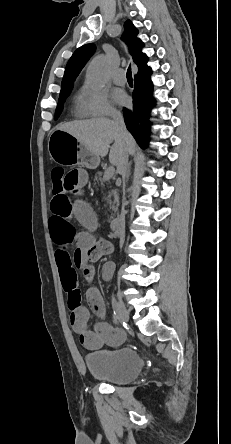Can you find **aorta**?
Segmentation results:
<instances>
[{"instance_id": "762f6f07", "label": "aorta", "mask_w": 231, "mask_h": 444, "mask_svg": "<svg viewBox=\"0 0 231 444\" xmlns=\"http://www.w3.org/2000/svg\"><path fill=\"white\" fill-rule=\"evenodd\" d=\"M108 64L109 61L105 56H98L91 61L86 80L92 88L99 89L104 86Z\"/></svg>"}]
</instances>
